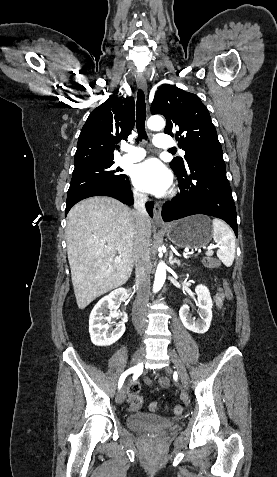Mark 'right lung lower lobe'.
<instances>
[{"label": "right lung lower lobe", "instance_id": "98d812e1", "mask_svg": "<svg viewBox=\"0 0 277 477\" xmlns=\"http://www.w3.org/2000/svg\"><path fill=\"white\" fill-rule=\"evenodd\" d=\"M92 196H110L123 202L124 204H133V195L128 180V182L122 186L98 185L78 193L71 199L67 200L65 215H67L71 207L77 202ZM153 206V202L146 203V209L151 217L153 216Z\"/></svg>", "mask_w": 277, "mask_h": 477}]
</instances>
